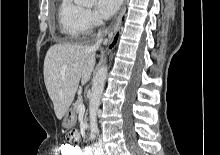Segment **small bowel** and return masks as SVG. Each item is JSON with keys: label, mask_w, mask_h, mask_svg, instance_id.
Instances as JSON below:
<instances>
[{"label": "small bowel", "mask_w": 220, "mask_h": 155, "mask_svg": "<svg viewBox=\"0 0 220 155\" xmlns=\"http://www.w3.org/2000/svg\"><path fill=\"white\" fill-rule=\"evenodd\" d=\"M66 135L67 143L62 144L61 146H75L72 144H80V130H66ZM81 155H91V149H81Z\"/></svg>", "instance_id": "c3829d8e"}]
</instances>
